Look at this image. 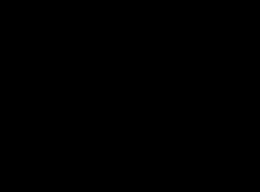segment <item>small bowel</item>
I'll use <instances>...</instances> for the list:
<instances>
[{
    "label": "small bowel",
    "instance_id": "c3829d8e",
    "mask_svg": "<svg viewBox=\"0 0 260 192\" xmlns=\"http://www.w3.org/2000/svg\"><path fill=\"white\" fill-rule=\"evenodd\" d=\"M143 55V58L152 63L153 60L152 58L143 50L139 49ZM104 56V51H98L96 52L91 58H90V63L91 65L96 69V70H100V66H99V61L100 59ZM195 74L194 71L190 72V76H193ZM164 80L167 82V84L174 90L177 91H183L185 89H187L188 85L187 84H179L173 77L170 76H164Z\"/></svg>",
    "mask_w": 260,
    "mask_h": 192
}]
</instances>
